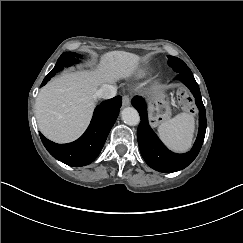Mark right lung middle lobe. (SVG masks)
Segmentation results:
<instances>
[{
    "label": "right lung middle lobe",
    "mask_w": 243,
    "mask_h": 243,
    "mask_svg": "<svg viewBox=\"0 0 243 243\" xmlns=\"http://www.w3.org/2000/svg\"><path fill=\"white\" fill-rule=\"evenodd\" d=\"M78 57H81V55L74 53V52H65L61 54L59 57L55 67L52 69V71L44 78L41 86L45 85L47 81L51 79L58 71L62 70L64 67L70 66L72 64L77 63Z\"/></svg>",
    "instance_id": "right-lung-middle-lobe-1"
}]
</instances>
